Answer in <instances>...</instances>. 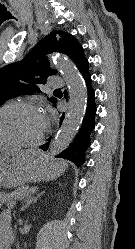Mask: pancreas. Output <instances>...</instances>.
<instances>
[{
    "label": "pancreas",
    "instance_id": "obj_1",
    "mask_svg": "<svg viewBox=\"0 0 135 249\" xmlns=\"http://www.w3.org/2000/svg\"><path fill=\"white\" fill-rule=\"evenodd\" d=\"M27 194L26 188H18L17 190H14L10 195L9 198L12 200H21L23 199Z\"/></svg>",
    "mask_w": 135,
    "mask_h": 249
}]
</instances>
